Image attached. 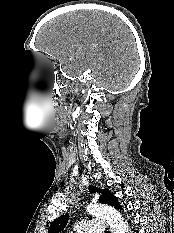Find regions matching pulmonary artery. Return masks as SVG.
<instances>
[{
  "label": "pulmonary artery",
  "instance_id": "e3ab8cb5",
  "mask_svg": "<svg viewBox=\"0 0 174 233\" xmlns=\"http://www.w3.org/2000/svg\"><path fill=\"white\" fill-rule=\"evenodd\" d=\"M77 230L80 233H104V222L99 219H89L81 221L77 225Z\"/></svg>",
  "mask_w": 174,
  "mask_h": 233
}]
</instances>
